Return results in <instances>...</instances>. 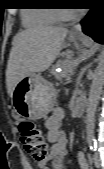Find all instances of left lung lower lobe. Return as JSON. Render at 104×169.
<instances>
[{"instance_id": "left-lung-lower-lobe-1", "label": "left lung lower lobe", "mask_w": 104, "mask_h": 169, "mask_svg": "<svg viewBox=\"0 0 104 169\" xmlns=\"http://www.w3.org/2000/svg\"><path fill=\"white\" fill-rule=\"evenodd\" d=\"M82 31L92 37L96 42L104 40V12L102 9L93 8L82 20Z\"/></svg>"}]
</instances>
